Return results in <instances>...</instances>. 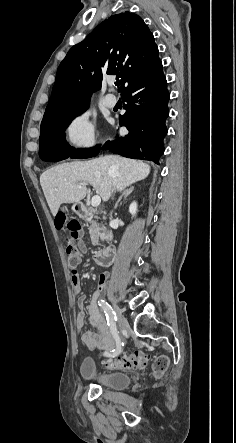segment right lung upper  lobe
<instances>
[{
    "label": "right lung upper lobe",
    "mask_w": 236,
    "mask_h": 443,
    "mask_svg": "<svg viewBox=\"0 0 236 443\" xmlns=\"http://www.w3.org/2000/svg\"><path fill=\"white\" fill-rule=\"evenodd\" d=\"M158 61L153 34L138 15L126 11L111 16L74 45L59 65L43 120L88 105L106 74L121 77L122 91Z\"/></svg>",
    "instance_id": "cb5924a9"
}]
</instances>
